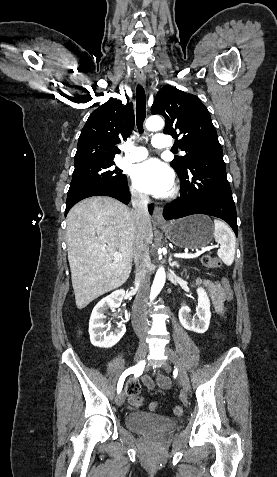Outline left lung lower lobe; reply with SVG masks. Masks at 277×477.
<instances>
[{
  "mask_svg": "<svg viewBox=\"0 0 277 477\" xmlns=\"http://www.w3.org/2000/svg\"><path fill=\"white\" fill-rule=\"evenodd\" d=\"M180 197L165 206L166 220L192 214H206L226 221L236 236L237 216L231 188L226 177L223 152H211L194 157L188 169L177 173Z\"/></svg>",
  "mask_w": 277,
  "mask_h": 477,
  "instance_id": "1",
  "label": "left lung lower lobe"
}]
</instances>
